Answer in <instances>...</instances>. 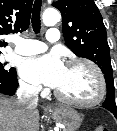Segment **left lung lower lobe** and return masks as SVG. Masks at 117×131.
Instances as JSON below:
<instances>
[{"label":"left lung lower lobe","mask_w":117,"mask_h":131,"mask_svg":"<svg viewBox=\"0 0 117 131\" xmlns=\"http://www.w3.org/2000/svg\"><path fill=\"white\" fill-rule=\"evenodd\" d=\"M113 114H114V116L117 118V112H114Z\"/></svg>","instance_id":"obj_1"}]
</instances>
